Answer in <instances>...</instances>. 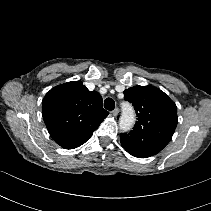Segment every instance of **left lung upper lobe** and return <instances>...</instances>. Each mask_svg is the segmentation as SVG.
I'll return each mask as SVG.
<instances>
[{"mask_svg":"<svg viewBox=\"0 0 211 211\" xmlns=\"http://www.w3.org/2000/svg\"><path fill=\"white\" fill-rule=\"evenodd\" d=\"M138 117L133 130L121 133L120 141L131 155L147 158L160 152L171 140L178 123L176 104L153 86H134L124 91Z\"/></svg>","mask_w":211,"mask_h":211,"instance_id":"left-lung-upper-lobe-1","label":"left lung upper lobe"}]
</instances>
